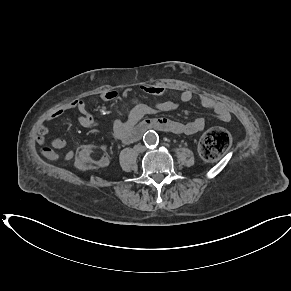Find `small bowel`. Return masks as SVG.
<instances>
[{
  "mask_svg": "<svg viewBox=\"0 0 291 291\" xmlns=\"http://www.w3.org/2000/svg\"><path fill=\"white\" fill-rule=\"evenodd\" d=\"M141 89L144 92L161 99L151 105L138 104L132 109L126 120L115 121L112 127V135L115 139L126 144L132 143L142 137V135L147 131V127L174 134L186 135L196 134L206 127L209 121L207 117H198L190 122H181L168 118L144 119L147 116L173 111L177 108V103L171 98L168 88L164 86L143 84ZM118 97L119 92L112 89L101 94V99L107 102H112ZM194 98L202 107L211 110L219 121L224 123L231 121L232 115L225 104L214 100L212 97L202 93L195 94L191 90H184L180 94V100L182 102H190ZM70 110L78 111L79 115L77 117V122L80 126L89 128L96 124V120L89 111L86 101L81 98L72 100L51 112L39 127L36 136V140L40 145L41 153L49 160L68 161L74 156L72 151H55L65 149L68 145V142L61 137L53 138L50 145H46V136L49 132L48 123L61 118Z\"/></svg>",
  "mask_w": 291,
  "mask_h": 291,
  "instance_id": "1",
  "label": "small bowel"
}]
</instances>
